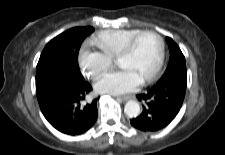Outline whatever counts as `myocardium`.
<instances>
[{
	"mask_svg": "<svg viewBox=\"0 0 225 155\" xmlns=\"http://www.w3.org/2000/svg\"><path fill=\"white\" fill-rule=\"evenodd\" d=\"M144 35H153L159 41V57H158L156 66L153 69V71L142 81L143 84H146V83H149V82L153 81L158 76V74L160 73L161 68L163 66V63H164L165 42H164L163 37L159 33L155 32L153 30H142V31L138 32L137 34L132 36L125 43V45L123 46V48L121 49V51L117 55L116 61L118 62L120 59L128 56L132 52L136 42Z\"/></svg>",
	"mask_w": 225,
	"mask_h": 155,
	"instance_id": "obj_1",
	"label": "myocardium"
}]
</instances>
